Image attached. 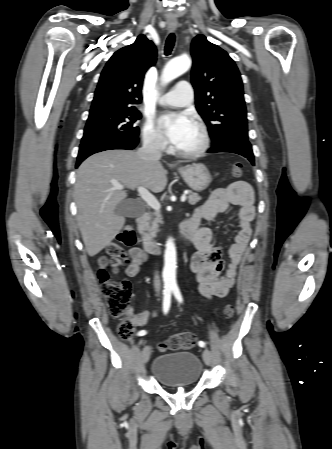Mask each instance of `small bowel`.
I'll use <instances>...</instances> for the list:
<instances>
[{"label": "small bowel", "instance_id": "1", "mask_svg": "<svg viewBox=\"0 0 332 449\" xmlns=\"http://www.w3.org/2000/svg\"><path fill=\"white\" fill-rule=\"evenodd\" d=\"M254 195L251 187L243 181L233 182L226 188L215 190L209 200L198 206L189 218L192 224V242L196 248L191 261V268L198 282L199 292L205 297H224L234 286L238 267L251 237V223L254 219ZM230 205L240 207L238 234L229 249L228 261L221 258V249L215 244L211 230L204 225L205 221L223 213ZM129 259L125 273L134 277L139 273L141 265L147 260L146 253L132 247L125 252ZM135 325L143 326L150 314L131 313Z\"/></svg>", "mask_w": 332, "mask_h": 449}]
</instances>
